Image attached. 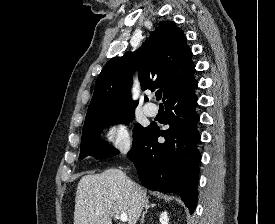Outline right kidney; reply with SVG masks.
I'll return each instance as SVG.
<instances>
[{
    "label": "right kidney",
    "instance_id": "1",
    "mask_svg": "<svg viewBox=\"0 0 275 224\" xmlns=\"http://www.w3.org/2000/svg\"><path fill=\"white\" fill-rule=\"evenodd\" d=\"M159 221L161 224H169L168 213L166 211L161 213Z\"/></svg>",
    "mask_w": 275,
    "mask_h": 224
}]
</instances>
